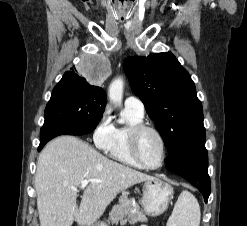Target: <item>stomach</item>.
Listing matches in <instances>:
<instances>
[{
    "label": "stomach",
    "mask_w": 247,
    "mask_h": 226,
    "mask_svg": "<svg viewBox=\"0 0 247 226\" xmlns=\"http://www.w3.org/2000/svg\"><path fill=\"white\" fill-rule=\"evenodd\" d=\"M142 191L141 205L145 213L153 217L161 215L168 208L173 197V187L159 178L146 180ZM95 226H104V224Z\"/></svg>",
    "instance_id": "1"
}]
</instances>
